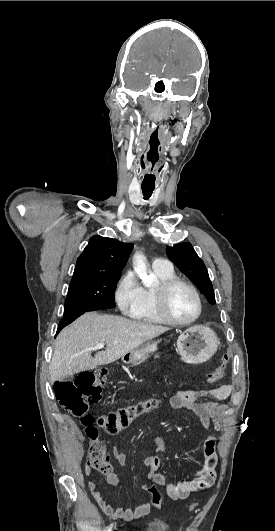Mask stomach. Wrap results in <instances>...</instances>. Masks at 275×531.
<instances>
[{"instance_id":"1","label":"stomach","mask_w":275,"mask_h":531,"mask_svg":"<svg viewBox=\"0 0 275 531\" xmlns=\"http://www.w3.org/2000/svg\"><path fill=\"white\" fill-rule=\"evenodd\" d=\"M157 341H146L137 349L123 355V363H129L132 367L144 363L150 355L157 351ZM219 345V339L209 327H190L178 337L177 347L182 361L191 365L206 363L215 355Z\"/></svg>"}]
</instances>
